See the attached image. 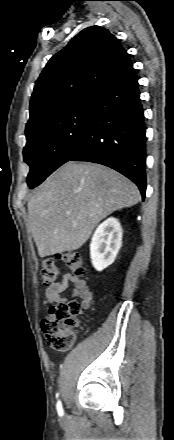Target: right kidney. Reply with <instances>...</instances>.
<instances>
[{
    "mask_svg": "<svg viewBox=\"0 0 174 440\" xmlns=\"http://www.w3.org/2000/svg\"><path fill=\"white\" fill-rule=\"evenodd\" d=\"M122 244V227L113 217L102 222L95 230L90 244L93 267L102 271L111 265Z\"/></svg>",
    "mask_w": 174,
    "mask_h": 440,
    "instance_id": "ca27d5eb",
    "label": "right kidney"
}]
</instances>
